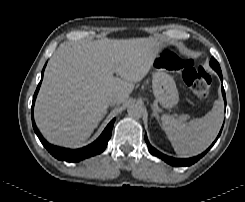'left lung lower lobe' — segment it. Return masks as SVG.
I'll use <instances>...</instances> for the list:
<instances>
[{
	"mask_svg": "<svg viewBox=\"0 0 245 202\" xmlns=\"http://www.w3.org/2000/svg\"><path fill=\"white\" fill-rule=\"evenodd\" d=\"M221 81H222V73L221 74H218ZM222 95H223V98H224V101L226 103V97H225V91H224V88L222 86ZM222 131V130H221ZM221 131L220 133L218 134L216 140L218 139V137L220 136L221 134ZM215 140V141H216ZM145 141L148 145V150L149 152L154 155V156H157L159 158H161L162 160H164L165 162H167L168 164L172 165V166H190L192 164H194L195 162H197L200 158H202L206 152L214 145L215 141L213 142V144L205 151L203 152L202 154L196 156V157H193V158H187V159H177V158H173V157H170V156H167L165 154H162L161 152H159L158 150H156L155 148H153L148 139H147V135L145 134Z\"/></svg>",
	"mask_w": 245,
	"mask_h": 202,
	"instance_id": "left-lung-lower-lobe-1",
	"label": "left lung lower lobe"
}]
</instances>
